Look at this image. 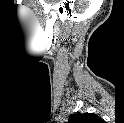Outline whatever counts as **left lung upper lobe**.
<instances>
[{
  "label": "left lung upper lobe",
  "instance_id": "1",
  "mask_svg": "<svg viewBox=\"0 0 124 123\" xmlns=\"http://www.w3.org/2000/svg\"><path fill=\"white\" fill-rule=\"evenodd\" d=\"M100 118L93 113H80L71 114L68 123H98Z\"/></svg>",
  "mask_w": 124,
  "mask_h": 123
}]
</instances>
